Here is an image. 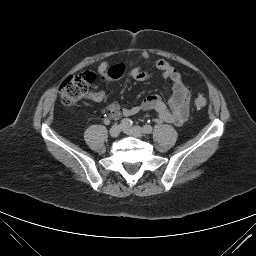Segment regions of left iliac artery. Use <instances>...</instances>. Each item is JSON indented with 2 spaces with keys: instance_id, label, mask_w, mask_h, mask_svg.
I'll return each instance as SVG.
<instances>
[{
  "instance_id": "1",
  "label": "left iliac artery",
  "mask_w": 256,
  "mask_h": 256,
  "mask_svg": "<svg viewBox=\"0 0 256 256\" xmlns=\"http://www.w3.org/2000/svg\"><path fill=\"white\" fill-rule=\"evenodd\" d=\"M152 130H153V128H152V126L149 125V124H146V125L143 126V131H144L145 134H150V133H152Z\"/></svg>"
}]
</instances>
